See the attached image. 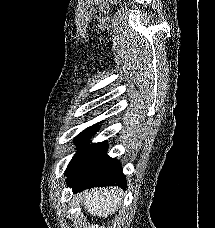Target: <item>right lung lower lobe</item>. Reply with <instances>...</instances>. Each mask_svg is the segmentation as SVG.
<instances>
[{"instance_id": "obj_1", "label": "right lung lower lobe", "mask_w": 215, "mask_h": 228, "mask_svg": "<svg viewBox=\"0 0 215 228\" xmlns=\"http://www.w3.org/2000/svg\"><path fill=\"white\" fill-rule=\"evenodd\" d=\"M107 146L91 160L80 166L67 178L73 192L103 186H120L126 189L127 181L118 160L110 158Z\"/></svg>"}]
</instances>
